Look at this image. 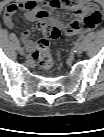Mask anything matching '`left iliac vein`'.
Listing matches in <instances>:
<instances>
[{
    "label": "left iliac vein",
    "instance_id": "4c4485c4",
    "mask_svg": "<svg viewBox=\"0 0 104 137\" xmlns=\"http://www.w3.org/2000/svg\"><path fill=\"white\" fill-rule=\"evenodd\" d=\"M82 47H81V45H76L75 46V52L77 53V54H81L82 53Z\"/></svg>",
    "mask_w": 104,
    "mask_h": 137
}]
</instances>
